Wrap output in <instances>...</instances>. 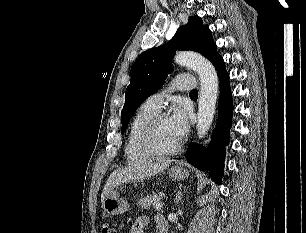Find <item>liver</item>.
Masks as SVG:
<instances>
[{"instance_id":"obj_1","label":"liver","mask_w":306,"mask_h":233,"mask_svg":"<svg viewBox=\"0 0 306 233\" xmlns=\"http://www.w3.org/2000/svg\"><path fill=\"white\" fill-rule=\"evenodd\" d=\"M170 163L171 160L164 159L156 162L132 164L125 168L115 170L106 181L101 194V202L119 185L157 175L166 170Z\"/></svg>"}]
</instances>
